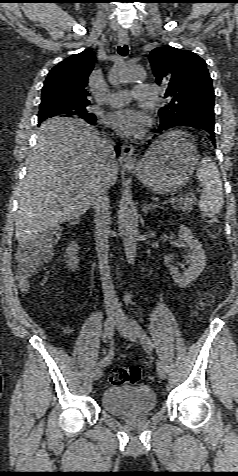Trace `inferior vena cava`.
<instances>
[{
  "mask_svg": "<svg viewBox=\"0 0 238 476\" xmlns=\"http://www.w3.org/2000/svg\"><path fill=\"white\" fill-rule=\"evenodd\" d=\"M101 147L105 157L107 158V164L105 168L106 174L97 189L93 201L96 223V250L98 255L105 304L107 307L117 312H120V304L118 302L116 292L114 290V286L110 276V267L108 265V238L110 232L109 205L108 203L102 204L101 202V198L107 194V191L110 187L109 174L113 169L114 165L117 163L116 153L114 150L113 143L108 139L102 140Z\"/></svg>",
  "mask_w": 238,
  "mask_h": 476,
  "instance_id": "1",
  "label": "inferior vena cava"
}]
</instances>
